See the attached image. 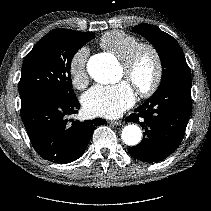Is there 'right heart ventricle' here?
Returning a JSON list of instances; mask_svg holds the SVG:
<instances>
[{
	"label": "right heart ventricle",
	"mask_w": 211,
	"mask_h": 211,
	"mask_svg": "<svg viewBox=\"0 0 211 211\" xmlns=\"http://www.w3.org/2000/svg\"><path fill=\"white\" fill-rule=\"evenodd\" d=\"M138 43V37L120 30L109 31L99 40L100 47L120 60H123Z\"/></svg>",
	"instance_id": "1"
}]
</instances>
